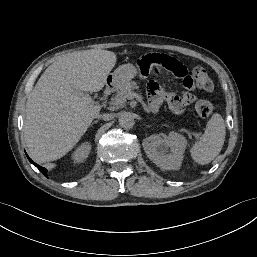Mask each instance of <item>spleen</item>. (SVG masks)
Segmentation results:
<instances>
[{
    "label": "spleen",
    "mask_w": 257,
    "mask_h": 257,
    "mask_svg": "<svg viewBox=\"0 0 257 257\" xmlns=\"http://www.w3.org/2000/svg\"><path fill=\"white\" fill-rule=\"evenodd\" d=\"M225 123L220 114H213L206 124L205 132L192 146L190 153L194 161L205 165L221 151L225 141Z\"/></svg>",
    "instance_id": "1"
}]
</instances>
